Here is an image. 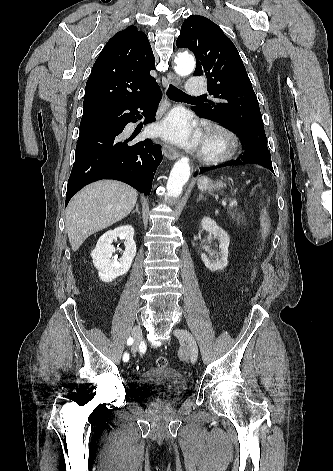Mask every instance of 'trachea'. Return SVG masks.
<instances>
[{
    "label": "trachea",
    "mask_w": 333,
    "mask_h": 471,
    "mask_svg": "<svg viewBox=\"0 0 333 471\" xmlns=\"http://www.w3.org/2000/svg\"><path fill=\"white\" fill-rule=\"evenodd\" d=\"M167 95L170 99L174 101H184L189 99H199L201 97H191L188 94L184 93L183 91L179 90L173 85H170L167 90Z\"/></svg>",
    "instance_id": "1"
}]
</instances>
